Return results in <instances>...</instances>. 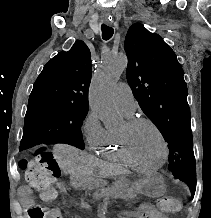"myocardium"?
Wrapping results in <instances>:
<instances>
[{
	"label": "myocardium",
	"instance_id": "f54148a6",
	"mask_svg": "<svg viewBox=\"0 0 211 218\" xmlns=\"http://www.w3.org/2000/svg\"><path fill=\"white\" fill-rule=\"evenodd\" d=\"M141 124H147L150 127H152L160 139L162 150H163V157H162V160L158 164L150 165V164L143 163L139 161L132 152L131 145H130V134L132 130H134L137 126ZM118 135H119L122 148L125 154L127 155V157L129 158V160L131 161V163L141 166L143 168L154 169V168L161 166L165 162L166 157H167L166 140H165L164 134L161 131V129L151 119L145 118V117L129 118L124 124V126L122 127V129L118 132Z\"/></svg>",
	"mask_w": 211,
	"mask_h": 218
}]
</instances>
